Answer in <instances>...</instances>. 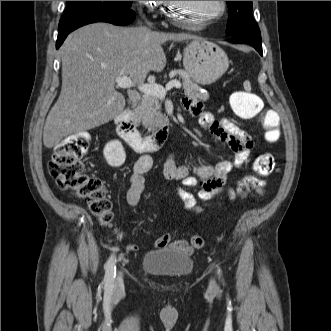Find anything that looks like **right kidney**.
Returning a JSON list of instances; mask_svg holds the SVG:
<instances>
[{
    "label": "right kidney",
    "instance_id": "ca27d5eb",
    "mask_svg": "<svg viewBox=\"0 0 331 331\" xmlns=\"http://www.w3.org/2000/svg\"><path fill=\"white\" fill-rule=\"evenodd\" d=\"M103 154L107 163L112 167L121 166L126 159V153L123 145L118 140H113L107 143L103 150Z\"/></svg>",
    "mask_w": 331,
    "mask_h": 331
}]
</instances>
